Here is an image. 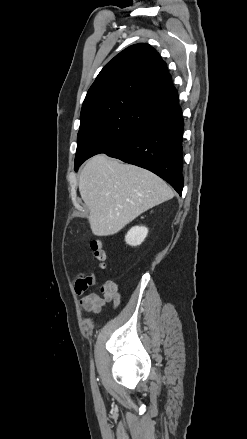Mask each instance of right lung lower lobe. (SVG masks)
Masks as SVG:
<instances>
[{"instance_id":"1","label":"right lung lower lobe","mask_w":247,"mask_h":439,"mask_svg":"<svg viewBox=\"0 0 247 439\" xmlns=\"http://www.w3.org/2000/svg\"><path fill=\"white\" fill-rule=\"evenodd\" d=\"M178 102L176 98L155 109L135 131L104 153L152 171L181 195L184 124Z\"/></svg>"}]
</instances>
